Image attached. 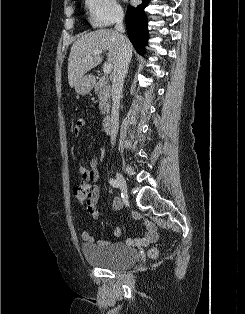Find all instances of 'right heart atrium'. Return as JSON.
Wrapping results in <instances>:
<instances>
[{"mask_svg": "<svg viewBox=\"0 0 245 314\" xmlns=\"http://www.w3.org/2000/svg\"><path fill=\"white\" fill-rule=\"evenodd\" d=\"M86 8L95 27L110 26L123 16V9L117 0H86Z\"/></svg>", "mask_w": 245, "mask_h": 314, "instance_id": "1", "label": "right heart atrium"}]
</instances>
